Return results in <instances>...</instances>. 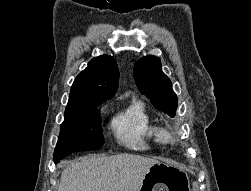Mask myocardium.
Segmentation results:
<instances>
[{
    "mask_svg": "<svg viewBox=\"0 0 251 191\" xmlns=\"http://www.w3.org/2000/svg\"><path fill=\"white\" fill-rule=\"evenodd\" d=\"M178 132L173 128L165 125L154 127V138L160 150H168L175 146Z\"/></svg>",
    "mask_w": 251,
    "mask_h": 191,
    "instance_id": "1",
    "label": "myocardium"
}]
</instances>
